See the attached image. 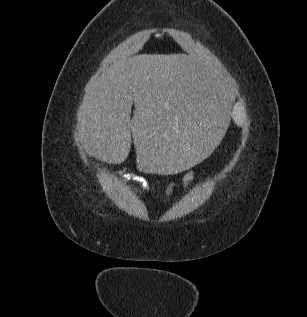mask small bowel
I'll return each mask as SVG.
<instances>
[{
	"label": "small bowel",
	"instance_id": "obj_1",
	"mask_svg": "<svg viewBox=\"0 0 307 317\" xmlns=\"http://www.w3.org/2000/svg\"><path fill=\"white\" fill-rule=\"evenodd\" d=\"M194 178V173L193 172H188L186 173V175L184 176L183 179V187L184 189H187L190 186V183L192 182ZM133 179L136 180L137 182H139L145 189H149L151 187H154L156 185V182L150 186L147 181L141 177V176H133ZM175 183L173 181H171L166 189V196L170 195L174 189Z\"/></svg>",
	"mask_w": 307,
	"mask_h": 317
}]
</instances>
